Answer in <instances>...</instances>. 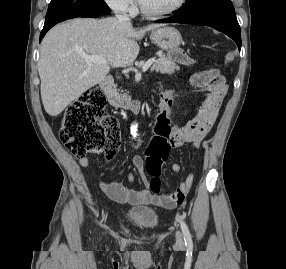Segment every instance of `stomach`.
Listing matches in <instances>:
<instances>
[{
	"instance_id": "1",
	"label": "stomach",
	"mask_w": 286,
	"mask_h": 269,
	"mask_svg": "<svg viewBox=\"0 0 286 269\" xmlns=\"http://www.w3.org/2000/svg\"><path fill=\"white\" fill-rule=\"evenodd\" d=\"M151 41L161 49H179L182 42L180 32L174 28L165 26L152 30L150 35Z\"/></svg>"
}]
</instances>
